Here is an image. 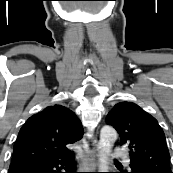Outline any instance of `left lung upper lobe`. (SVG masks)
Instances as JSON below:
<instances>
[{"mask_svg":"<svg viewBox=\"0 0 173 173\" xmlns=\"http://www.w3.org/2000/svg\"><path fill=\"white\" fill-rule=\"evenodd\" d=\"M106 123L120 135V145L129 148L130 168L154 173H173L162 128L157 120L132 102H120L108 113Z\"/></svg>","mask_w":173,"mask_h":173,"instance_id":"left-lung-upper-lobe-1","label":"left lung upper lobe"}]
</instances>
